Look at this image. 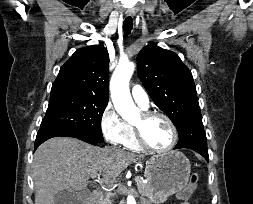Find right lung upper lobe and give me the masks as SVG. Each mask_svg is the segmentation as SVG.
<instances>
[{
  "label": "right lung upper lobe",
  "mask_w": 253,
  "mask_h": 204,
  "mask_svg": "<svg viewBox=\"0 0 253 204\" xmlns=\"http://www.w3.org/2000/svg\"><path fill=\"white\" fill-rule=\"evenodd\" d=\"M109 55L101 45L78 49L60 68L52 88L79 90L99 100L109 99Z\"/></svg>",
  "instance_id": "obj_1"
}]
</instances>
